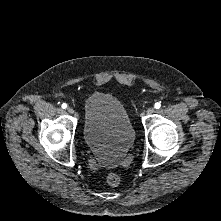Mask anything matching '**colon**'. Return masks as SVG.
<instances>
[{"label": "colon", "instance_id": "colon-1", "mask_svg": "<svg viewBox=\"0 0 221 221\" xmlns=\"http://www.w3.org/2000/svg\"><path fill=\"white\" fill-rule=\"evenodd\" d=\"M105 180L109 185L116 186L120 183V176L117 173L111 172L106 175Z\"/></svg>", "mask_w": 221, "mask_h": 221}]
</instances>
